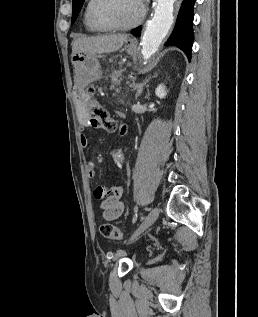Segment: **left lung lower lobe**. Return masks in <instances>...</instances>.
Masks as SVG:
<instances>
[{
    "mask_svg": "<svg viewBox=\"0 0 258 317\" xmlns=\"http://www.w3.org/2000/svg\"><path fill=\"white\" fill-rule=\"evenodd\" d=\"M196 0H184L179 10L176 25L165 46H176L180 48L191 60V48L193 43V18L194 4ZM141 27L132 31L135 36H140Z\"/></svg>",
    "mask_w": 258,
    "mask_h": 317,
    "instance_id": "1",
    "label": "left lung lower lobe"
}]
</instances>
